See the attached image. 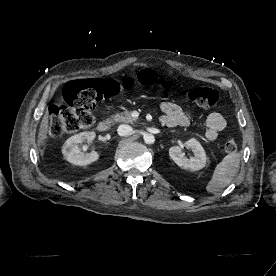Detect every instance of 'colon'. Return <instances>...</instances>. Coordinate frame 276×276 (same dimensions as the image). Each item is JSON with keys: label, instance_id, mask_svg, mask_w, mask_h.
<instances>
[{"label": "colon", "instance_id": "obj_1", "mask_svg": "<svg viewBox=\"0 0 276 276\" xmlns=\"http://www.w3.org/2000/svg\"><path fill=\"white\" fill-rule=\"evenodd\" d=\"M138 81L145 86L159 85L166 87L164 81H158L156 75L144 69L138 76ZM133 86L129 78L121 83L106 80L77 79L68 82L63 89V100L65 105H53L49 108V131L54 137L64 134L75 133L80 129H87L95 122V108L97 103L108 99L118 91ZM186 97L198 107L209 110L213 108L218 100V92L210 87H195L185 93ZM223 151L232 153L237 149L235 139L228 138L223 143Z\"/></svg>", "mask_w": 276, "mask_h": 276}]
</instances>
